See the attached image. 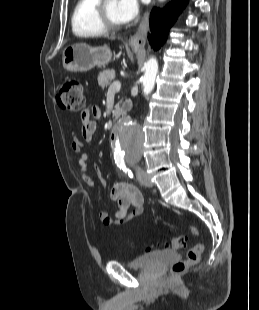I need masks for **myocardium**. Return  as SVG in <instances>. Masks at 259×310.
Listing matches in <instances>:
<instances>
[{"mask_svg":"<svg viewBox=\"0 0 259 310\" xmlns=\"http://www.w3.org/2000/svg\"><path fill=\"white\" fill-rule=\"evenodd\" d=\"M106 2L107 0H99L95 6L96 21L104 32L119 30L122 25L111 22L107 16Z\"/></svg>","mask_w":259,"mask_h":310,"instance_id":"myocardium-1","label":"myocardium"}]
</instances>
